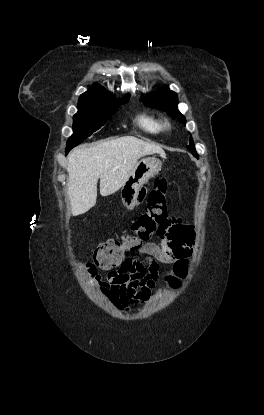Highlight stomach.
<instances>
[{
	"instance_id": "obj_1",
	"label": "stomach",
	"mask_w": 264,
	"mask_h": 415,
	"mask_svg": "<svg viewBox=\"0 0 264 415\" xmlns=\"http://www.w3.org/2000/svg\"><path fill=\"white\" fill-rule=\"evenodd\" d=\"M162 162L155 157H148L138 161L125 184L121 187V200L123 205L132 210L141 202L139 191L149 179L159 173Z\"/></svg>"
}]
</instances>
